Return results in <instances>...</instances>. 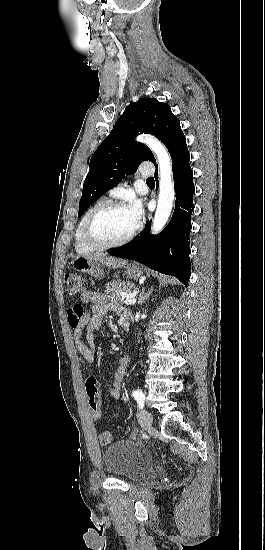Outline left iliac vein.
<instances>
[{
  "mask_svg": "<svg viewBox=\"0 0 265 550\" xmlns=\"http://www.w3.org/2000/svg\"><path fill=\"white\" fill-rule=\"evenodd\" d=\"M138 417L141 424L145 427H150L152 425L153 417L149 411L145 409L140 410Z\"/></svg>",
  "mask_w": 265,
  "mask_h": 550,
  "instance_id": "1",
  "label": "left iliac vein"
}]
</instances>
